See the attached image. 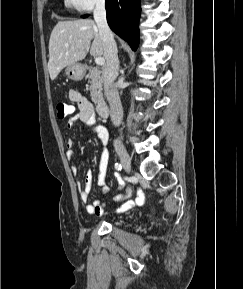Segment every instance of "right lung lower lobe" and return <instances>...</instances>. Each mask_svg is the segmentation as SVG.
I'll return each instance as SVG.
<instances>
[{"label":"right lung lower lobe","mask_w":243,"mask_h":289,"mask_svg":"<svg viewBox=\"0 0 243 289\" xmlns=\"http://www.w3.org/2000/svg\"><path fill=\"white\" fill-rule=\"evenodd\" d=\"M105 7L110 28L127 41L132 50H136L139 43L140 0H106Z\"/></svg>","instance_id":"1"}]
</instances>
